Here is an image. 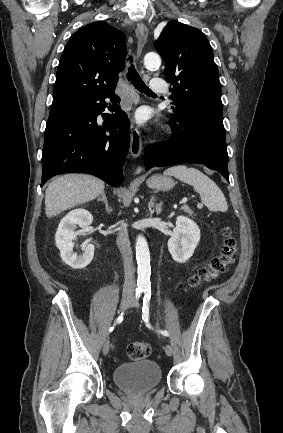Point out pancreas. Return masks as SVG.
Returning <instances> with one entry per match:
<instances>
[{
    "label": "pancreas",
    "mask_w": 283,
    "mask_h": 433,
    "mask_svg": "<svg viewBox=\"0 0 283 433\" xmlns=\"http://www.w3.org/2000/svg\"><path fill=\"white\" fill-rule=\"evenodd\" d=\"M182 210H185V212H188V214H193L192 208H190V206H187V204H184V206H182Z\"/></svg>",
    "instance_id": "obj_1"
}]
</instances>
